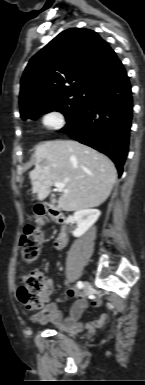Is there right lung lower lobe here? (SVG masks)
<instances>
[{
  "instance_id": "98d812e1",
  "label": "right lung lower lobe",
  "mask_w": 145,
  "mask_h": 385,
  "mask_svg": "<svg viewBox=\"0 0 145 385\" xmlns=\"http://www.w3.org/2000/svg\"><path fill=\"white\" fill-rule=\"evenodd\" d=\"M132 113L131 85L124 71L94 88L85 106L61 131L109 156L121 175Z\"/></svg>"
}]
</instances>
